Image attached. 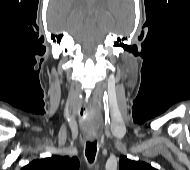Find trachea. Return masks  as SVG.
<instances>
[{"label":"trachea","mask_w":190,"mask_h":170,"mask_svg":"<svg viewBox=\"0 0 190 170\" xmlns=\"http://www.w3.org/2000/svg\"><path fill=\"white\" fill-rule=\"evenodd\" d=\"M96 151H97V142L96 141L86 143L85 155L90 163H92L94 161Z\"/></svg>","instance_id":"trachea-1"}]
</instances>
